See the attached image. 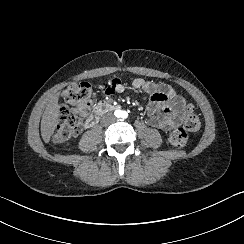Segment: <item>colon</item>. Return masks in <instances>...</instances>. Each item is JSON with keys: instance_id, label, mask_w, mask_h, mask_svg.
I'll return each instance as SVG.
<instances>
[{"instance_id": "obj_1", "label": "colon", "mask_w": 244, "mask_h": 244, "mask_svg": "<svg viewBox=\"0 0 244 244\" xmlns=\"http://www.w3.org/2000/svg\"><path fill=\"white\" fill-rule=\"evenodd\" d=\"M92 95V85L86 81H74L63 91L60 122L53 135L54 143L61 144L76 136L80 129L79 122L90 112ZM184 115V123L169 134L170 142L180 148L189 144V136L196 132L200 125L192 104H188Z\"/></svg>"}]
</instances>
